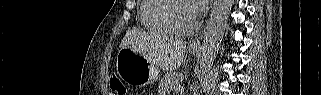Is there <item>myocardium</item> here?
Segmentation results:
<instances>
[{"instance_id":"myocardium-1","label":"myocardium","mask_w":321,"mask_h":95,"mask_svg":"<svg viewBox=\"0 0 321 95\" xmlns=\"http://www.w3.org/2000/svg\"><path fill=\"white\" fill-rule=\"evenodd\" d=\"M179 4H185L187 3L184 0H168L166 5L164 6L162 10V20L167 25V27L170 29V31L176 35L179 36H187L193 32H195L199 27V20L195 17V20L190 28L183 29L177 26L173 19V12L177 5Z\"/></svg>"}]
</instances>
